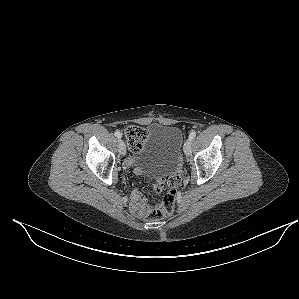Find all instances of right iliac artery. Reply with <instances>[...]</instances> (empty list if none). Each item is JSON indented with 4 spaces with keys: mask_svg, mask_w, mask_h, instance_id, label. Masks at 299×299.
Wrapping results in <instances>:
<instances>
[{
    "mask_svg": "<svg viewBox=\"0 0 299 299\" xmlns=\"http://www.w3.org/2000/svg\"><path fill=\"white\" fill-rule=\"evenodd\" d=\"M114 135L119 139L122 137V134L119 131H116Z\"/></svg>",
    "mask_w": 299,
    "mask_h": 299,
    "instance_id": "1",
    "label": "right iliac artery"
}]
</instances>
